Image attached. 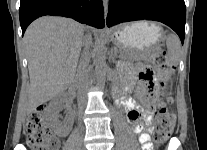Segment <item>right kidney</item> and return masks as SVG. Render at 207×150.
<instances>
[{
    "label": "right kidney",
    "mask_w": 207,
    "mask_h": 150,
    "mask_svg": "<svg viewBox=\"0 0 207 150\" xmlns=\"http://www.w3.org/2000/svg\"><path fill=\"white\" fill-rule=\"evenodd\" d=\"M67 100V94L61 93L53 98L47 107L48 121L53 129L57 128L59 112L62 109L63 105L67 102Z\"/></svg>",
    "instance_id": "right-kidney-1"
}]
</instances>
